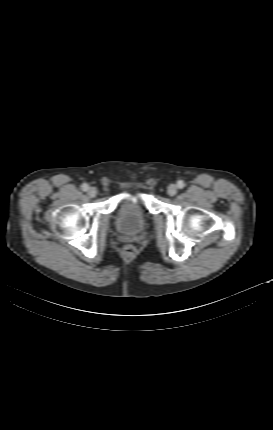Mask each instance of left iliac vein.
Wrapping results in <instances>:
<instances>
[{"mask_svg":"<svg viewBox=\"0 0 273 430\" xmlns=\"http://www.w3.org/2000/svg\"><path fill=\"white\" fill-rule=\"evenodd\" d=\"M177 190H178L177 186L174 184H171L168 186L167 193L170 196H174V195H176Z\"/></svg>","mask_w":273,"mask_h":430,"instance_id":"obj_1","label":"left iliac vein"}]
</instances>
